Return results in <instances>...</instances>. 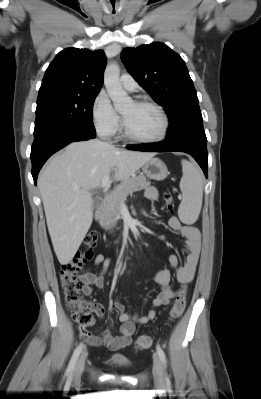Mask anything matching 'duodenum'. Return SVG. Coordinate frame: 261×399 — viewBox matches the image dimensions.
I'll use <instances>...</instances> for the list:
<instances>
[{
	"label": "duodenum",
	"instance_id": "obj_1",
	"mask_svg": "<svg viewBox=\"0 0 261 399\" xmlns=\"http://www.w3.org/2000/svg\"><path fill=\"white\" fill-rule=\"evenodd\" d=\"M108 200H109V199H108L107 196L103 198L102 205H101V206L98 208V210H97V215H98V216L101 215L104 206L108 203Z\"/></svg>",
	"mask_w": 261,
	"mask_h": 399
}]
</instances>
